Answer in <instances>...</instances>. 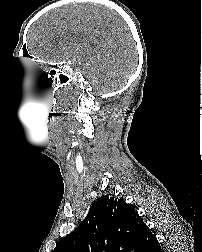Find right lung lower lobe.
<instances>
[{
    "label": "right lung lower lobe",
    "instance_id": "98d812e1",
    "mask_svg": "<svg viewBox=\"0 0 202 252\" xmlns=\"http://www.w3.org/2000/svg\"><path fill=\"white\" fill-rule=\"evenodd\" d=\"M153 252H163L162 249H161V247H160V244L155 247V249L153 250Z\"/></svg>",
    "mask_w": 202,
    "mask_h": 252
}]
</instances>
